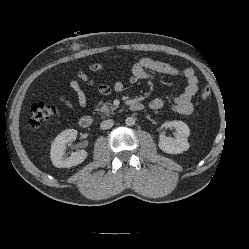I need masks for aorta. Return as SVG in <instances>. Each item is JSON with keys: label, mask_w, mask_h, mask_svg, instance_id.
Wrapping results in <instances>:
<instances>
[{"label": "aorta", "mask_w": 249, "mask_h": 249, "mask_svg": "<svg viewBox=\"0 0 249 249\" xmlns=\"http://www.w3.org/2000/svg\"><path fill=\"white\" fill-rule=\"evenodd\" d=\"M126 125L133 126L135 124V119L133 117H128L125 120Z\"/></svg>", "instance_id": "obj_1"}]
</instances>
